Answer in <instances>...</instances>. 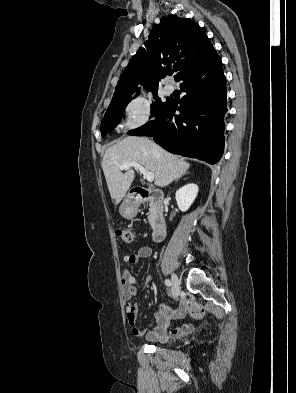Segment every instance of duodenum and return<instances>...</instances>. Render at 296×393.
<instances>
[{
	"label": "duodenum",
	"mask_w": 296,
	"mask_h": 393,
	"mask_svg": "<svg viewBox=\"0 0 296 393\" xmlns=\"http://www.w3.org/2000/svg\"><path fill=\"white\" fill-rule=\"evenodd\" d=\"M131 206L142 201H149L152 205V238L155 242H162L167 235V225L164 215V194L158 189L136 187L130 194Z\"/></svg>",
	"instance_id": "obj_1"
}]
</instances>
